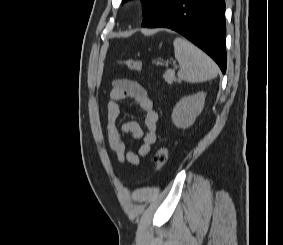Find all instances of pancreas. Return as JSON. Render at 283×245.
I'll use <instances>...</instances> for the list:
<instances>
[{
  "label": "pancreas",
  "instance_id": "1",
  "mask_svg": "<svg viewBox=\"0 0 283 245\" xmlns=\"http://www.w3.org/2000/svg\"><path fill=\"white\" fill-rule=\"evenodd\" d=\"M163 78L169 84L173 83L176 80L174 70H166L163 74Z\"/></svg>",
  "mask_w": 283,
  "mask_h": 245
}]
</instances>
